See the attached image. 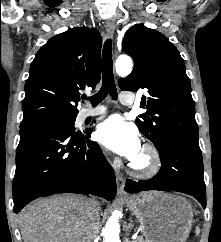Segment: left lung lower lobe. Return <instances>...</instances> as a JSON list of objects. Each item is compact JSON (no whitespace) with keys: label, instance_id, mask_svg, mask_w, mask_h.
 <instances>
[{"label":"left lung lower lobe","instance_id":"left-lung-lower-lobe-1","mask_svg":"<svg viewBox=\"0 0 221 242\" xmlns=\"http://www.w3.org/2000/svg\"><path fill=\"white\" fill-rule=\"evenodd\" d=\"M162 166L150 180L126 181L125 191H178L195 197L206 207V187L203 178L202 152L198 139L170 136L157 148Z\"/></svg>","mask_w":221,"mask_h":242}]
</instances>
